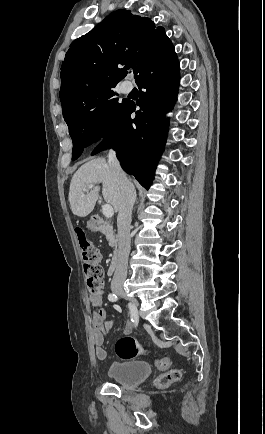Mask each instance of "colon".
I'll use <instances>...</instances> for the list:
<instances>
[{
  "label": "colon",
  "instance_id": "obj_1",
  "mask_svg": "<svg viewBox=\"0 0 265 434\" xmlns=\"http://www.w3.org/2000/svg\"><path fill=\"white\" fill-rule=\"evenodd\" d=\"M75 235L80 247L84 263L85 279L87 289L95 300H100L104 294L103 269L100 266L101 256L99 249L88 239L85 230L81 227L75 229ZM115 354L120 360L129 361L147 353L144 345L134 336H124L114 345ZM160 370H167L172 363L169 358L160 359L155 362ZM181 377L178 369H171L157 379L159 386H169Z\"/></svg>",
  "mask_w": 265,
  "mask_h": 434
}]
</instances>
